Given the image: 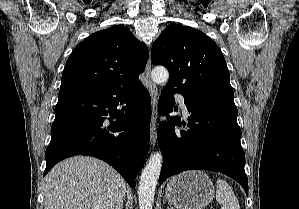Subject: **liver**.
Instances as JSON below:
<instances>
[{"instance_id": "liver-1", "label": "liver", "mask_w": 299, "mask_h": 209, "mask_svg": "<svg viewBox=\"0 0 299 209\" xmlns=\"http://www.w3.org/2000/svg\"><path fill=\"white\" fill-rule=\"evenodd\" d=\"M126 189L125 180L105 162L75 156L45 177L44 209H120Z\"/></svg>"}]
</instances>
